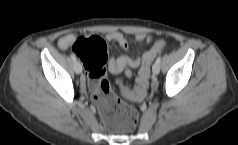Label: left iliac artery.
Masks as SVG:
<instances>
[{"instance_id": "44dca946", "label": "left iliac artery", "mask_w": 238, "mask_h": 145, "mask_svg": "<svg viewBox=\"0 0 238 145\" xmlns=\"http://www.w3.org/2000/svg\"><path fill=\"white\" fill-rule=\"evenodd\" d=\"M161 62V56H159L157 59H156V63H160Z\"/></svg>"}]
</instances>
